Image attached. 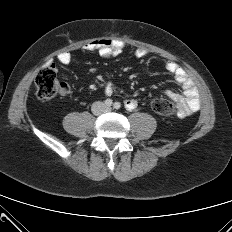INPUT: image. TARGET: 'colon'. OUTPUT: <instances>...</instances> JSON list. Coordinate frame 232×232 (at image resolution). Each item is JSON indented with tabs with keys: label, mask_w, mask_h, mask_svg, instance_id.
<instances>
[{
	"label": "colon",
	"mask_w": 232,
	"mask_h": 232,
	"mask_svg": "<svg viewBox=\"0 0 232 232\" xmlns=\"http://www.w3.org/2000/svg\"><path fill=\"white\" fill-rule=\"evenodd\" d=\"M35 87L38 98L42 100L54 97L63 89L52 66L40 68L35 78ZM150 105L156 114L164 117H170L175 113L174 103L168 98L154 97Z\"/></svg>",
	"instance_id": "colon-1"
}]
</instances>
